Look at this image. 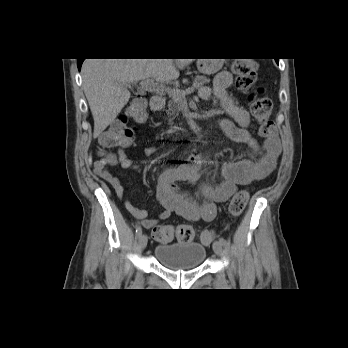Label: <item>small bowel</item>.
Returning a JSON list of instances; mask_svg holds the SVG:
<instances>
[{
	"label": "small bowel",
	"mask_w": 348,
	"mask_h": 348,
	"mask_svg": "<svg viewBox=\"0 0 348 348\" xmlns=\"http://www.w3.org/2000/svg\"><path fill=\"white\" fill-rule=\"evenodd\" d=\"M232 81V74L223 71L215 78L213 91L209 87H202L199 90V96L206 101L214 93L221 109L229 116V118L219 119L216 122V128L232 141L245 144L253 153L260 154L261 145L248 131L250 125L248 112L236 104L228 91ZM154 152V146L145 148L147 155ZM280 153V140L273 135L266 140L263 153L257 162L242 161L226 164L220 173L222 181L213 185L203 180L205 161L202 160L200 152L194 151L188 163L168 167L158 178L156 197L162 205L159 219L148 218L146 209L134 206L124 195L121 179L110 172L109 166L114 164H118L123 169L138 168L125 154L119 152L112 163L95 162L93 172L114 188L117 196L124 200L126 209L144 228L151 229L159 220H166L172 214L193 222L212 221L216 217L217 205L227 202L238 186H247L254 181L267 178L275 170ZM181 182L195 185L201 200L183 195L178 186Z\"/></svg>",
	"instance_id": "obj_1"
}]
</instances>
